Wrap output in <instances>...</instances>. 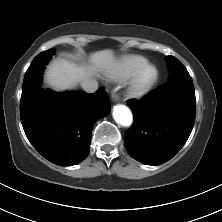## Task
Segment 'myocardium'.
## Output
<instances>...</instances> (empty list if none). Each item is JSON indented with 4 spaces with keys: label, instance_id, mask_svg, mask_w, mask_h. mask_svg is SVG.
<instances>
[{
    "label": "myocardium",
    "instance_id": "f54148a6",
    "mask_svg": "<svg viewBox=\"0 0 222 222\" xmlns=\"http://www.w3.org/2000/svg\"><path fill=\"white\" fill-rule=\"evenodd\" d=\"M158 78L157 67L149 62L142 65L130 78L127 93L132 98L144 96Z\"/></svg>",
    "mask_w": 222,
    "mask_h": 222
}]
</instances>
